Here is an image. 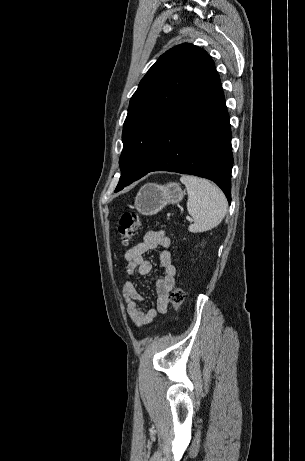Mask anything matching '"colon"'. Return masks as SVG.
Listing matches in <instances>:
<instances>
[{
    "mask_svg": "<svg viewBox=\"0 0 305 461\" xmlns=\"http://www.w3.org/2000/svg\"><path fill=\"white\" fill-rule=\"evenodd\" d=\"M142 226V219L135 213L125 212L121 215L118 225V234L122 244L128 245L134 238L136 231ZM185 300V291L182 287H175L170 293V302L175 310H180Z\"/></svg>",
    "mask_w": 305,
    "mask_h": 461,
    "instance_id": "1",
    "label": "colon"
}]
</instances>
